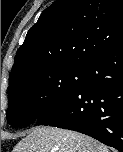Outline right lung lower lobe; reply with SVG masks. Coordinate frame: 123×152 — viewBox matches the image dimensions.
<instances>
[{"instance_id":"right-lung-lower-lobe-1","label":"right lung lower lobe","mask_w":123,"mask_h":152,"mask_svg":"<svg viewBox=\"0 0 123 152\" xmlns=\"http://www.w3.org/2000/svg\"><path fill=\"white\" fill-rule=\"evenodd\" d=\"M36 125L74 130L123 152V43L87 64L78 89Z\"/></svg>"}]
</instances>
